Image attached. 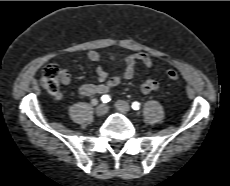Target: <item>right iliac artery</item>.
<instances>
[{"instance_id": "obj_1", "label": "right iliac artery", "mask_w": 230, "mask_h": 186, "mask_svg": "<svg viewBox=\"0 0 230 186\" xmlns=\"http://www.w3.org/2000/svg\"><path fill=\"white\" fill-rule=\"evenodd\" d=\"M110 100H111V98H110L109 95H103V96L101 97V101H102L103 103H108Z\"/></svg>"}]
</instances>
